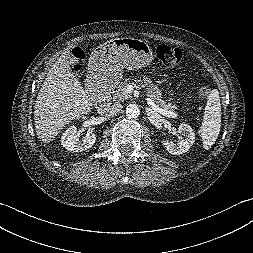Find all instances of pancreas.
<instances>
[{"instance_id": "obj_1", "label": "pancreas", "mask_w": 253, "mask_h": 253, "mask_svg": "<svg viewBox=\"0 0 253 253\" xmlns=\"http://www.w3.org/2000/svg\"><path fill=\"white\" fill-rule=\"evenodd\" d=\"M129 84H130L129 79H123V81L120 82V84L113 91V98H112L113 101L120 102L131 97V95L126 90ZM141 84H142L141 86L145 89L147 96L150 97L157 106L168 111H174L176 109L175 104L173 105L171 103L166 104V102H164L161 99L162 97L161 90L158 88L157 85L153 84L149 78L144 77L141 80Z\"/></svg>"}]
</instances>
